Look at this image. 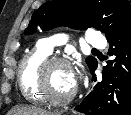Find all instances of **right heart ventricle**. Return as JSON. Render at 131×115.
Returning a JSON list of instances; mask_svg holds the SVG:
<instances>
[{"label":"right heart ventricle","mask_w":131,"mask_h":115,"mask_svg":"<svg viewBox=\"0 0 131 115\" xmlns=\"http://www.w3.org/2000/svg\"><path fill=\"white\" fill-rule=\"evenodd\" d=\"M47 51L37 46L26 53L17 68V83L23 98L34 104H41L44 100L36 89L37 70L40 64L49 57Z\"/></svg>","instance_id":"right-heart-ventricle-1"}]
</instances>
